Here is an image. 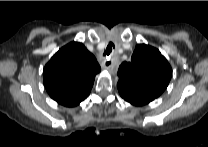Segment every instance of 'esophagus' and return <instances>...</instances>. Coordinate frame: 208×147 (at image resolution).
<instances>
[{
  "mask_svg": "<svg viewBox=\"0 0 208 147\" xmlns=\"http://www.w3.org/2000/svg\"><path fill=\"white\" fill-rule=\"evenodd\" d=\"M103 68L111 73L115 72V66L113 61L109 58H106L103 62Z\"/></svg>",
  "mask_w": 208,
  "mask_h": 147,
  "instance_id": "esophagus-1",
  "label": "esophagus"
}]
</instances>
